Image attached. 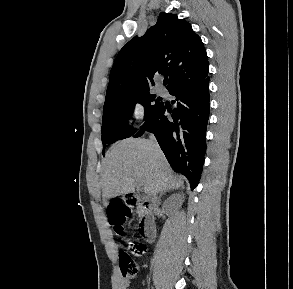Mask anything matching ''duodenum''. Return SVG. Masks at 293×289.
I'll return each instance as SVG.
<instances>
[{"mask_svg": "<svg viewBox=\"0 0 293 289\" xmlns=\"http://www.w3.org/2000/svg\"><path fill=\"white\" fill-rule=\"evenodd\" d=\"M126 200L128 205L136 209L140 214L139 233L147 242H153L156 237L153 205L149 201H143L135 193L127 194Z\"/></svg>", "mask_w": 293, "mask_h": 289, "instance_id": "obj_1", "label": "duodenum"}]
</instances>
